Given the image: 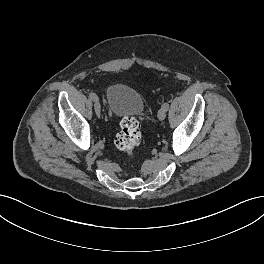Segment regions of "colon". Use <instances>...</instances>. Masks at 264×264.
I'll return each mask as SVG.
<instances>
[{"label":"colon","mask_w":264,"mask_h":264,"mask_svg":"<svg viewBox=\"0 0 264 264\" xmlns=\"http://www.w3.org/2000/svg\"><path fill=\"white\" fill-rule=\"evenodd\" d=\"M141 141V126L135 117H125L120 121L115 145L128 155H132Z\"/></svg>","instance_id":"obj_1"}]
</instances>
